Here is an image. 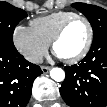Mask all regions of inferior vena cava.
<instances>
[{
  "label": "inferior vena cava",
  "instance_id": "obj_1",
  "mask_svg": "<svg viewBox=\"0 0 107 107\" xmlns=\"http://www.w3.org/2000/svg\"><path fill=\"white\" fill-rule=\"evenodd\" d=\"M27 60L31 63L39 64L43 62V57L39 54H33V55H29L27 57Z\"/></svg>",
  "mask_w": 107,
  "mask_h": 107
}]
</instances>
